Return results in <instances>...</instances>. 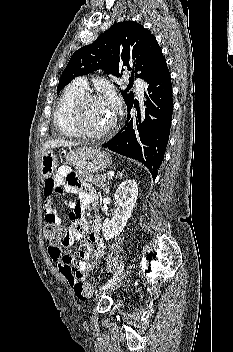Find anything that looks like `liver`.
<instances>
[{
	"label": "liver",
	"instance_id": "6515ba94",
	"mask_svg": "<svg viewBox=\"0 0 233 352\" xmlns=\"http://www.w3.org/2000/svg\"><path fill=\"white\" fill-rule=\"evenodd\" d=\"M77 143H74L72 141H66L63 139H55V140H51V141H47L44 145H43V150H42V154L44 152H46L47 150L51 149V148H56V147H72V146H76Z\"/></svg>",
	"mask_w": 233,
	"mask_h": 352
}]
</instances>
